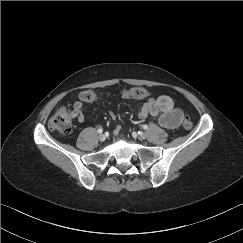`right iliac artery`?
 I'll use <instances>...</instances> for the list:
<instances>
[{
  "mask_svg": "<svg viewBox=\"0 0 243 243\" xmlns=\"http://www.w3.org/2000/svg\"><path fill=\"white\" fill-rule=\"evenodd\" d=\"M98 133H102L103 132V130L100 128V129H98V131H97Z\"/></svg>",
  "mask_w": 243,
  "mask_h": 243,
  "instance_id": "obj_1",
  "label": "right iliac artery"
}]
</instances>
